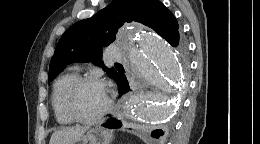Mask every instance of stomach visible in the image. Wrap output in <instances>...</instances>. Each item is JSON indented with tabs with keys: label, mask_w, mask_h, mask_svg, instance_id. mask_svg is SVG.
Here are the masks:
<instances>
[{
	"label": "stomach",
	"mask_w": 260,
	"mask_h": 144,
	"mask_svg": "<svg viewBox=\"0 0 260 144\" xmlns=\"http://www.w3.org/2000/svg\"><path fill=\"white\" fill-rule=\"evenodd\" d=\"M113 133L110 130L95 127L86 132V134L75 139L71 144H110Z\"/></svg>",
	"instance_id": "stomach-1"
}]
</instances>
